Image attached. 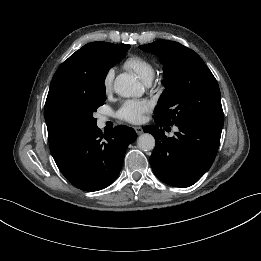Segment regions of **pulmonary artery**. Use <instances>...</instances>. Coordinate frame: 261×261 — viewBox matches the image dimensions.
Here are the masks:
<instances>
[{
    "label": "pulmonary artery",
    "instance_id": "pulmonary-artery-1",
    "mask_svg": "<svg viewBox=\"0 0 261 261\" xmlns=\"http://www.w3.org/2000/svg\"><path fill=\"white\" fill-rule=\"evenodd\" d=\"M105 121H106V118H104V117L100 118V123H104Z\"/></svg>",
    "mask_w": 261,
    "mask_h": 261
}]
</instances>
